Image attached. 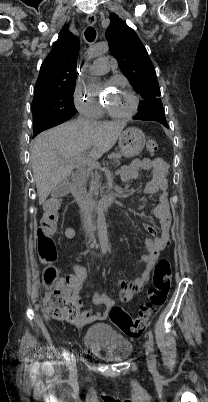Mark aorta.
I'll return each instance as SVG.
<instances>
[{
	"instance_id": "aorta-1",
	"label": "aorta",
	"mask_w": 208,
	"mask_h": 402,
	"mask_svg": "<svg viewBox=\"0 0 208 402\" xmlns=\"http://www.w3.org/2000/svg\"><path fill=\"white\" fill-rule=\"evenodd\" d=\"M96 222H97V230L96 233L98 235V242H99V248L102 250L104 255H107L109 252V235L107 233L109 226L108 222L106 220L105 214H103L102 208H100L98 212V216L96 217Z\"/></svg>"
}]
</instances>
